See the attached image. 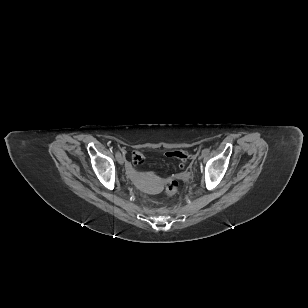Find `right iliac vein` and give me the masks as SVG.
I'll return each mask as SVG.
<instances>
[{
  "mask_svg": "<svg viewBox=\"0 0 308 308\" xmlns=\"http://www.w3.org/2000/svg\"><path fill=\"white\" fill-rule=\"evenodd\" d=\"M117 161L119 164H124L125 158L121 154L117 157Z\"/></svg>",
  "mask_w": 308,
  "mask_h": 308,
  "instance_id": "right-iliac-vein-1",
  "label": "right iliac vein"
}]
</instances>
